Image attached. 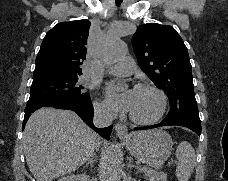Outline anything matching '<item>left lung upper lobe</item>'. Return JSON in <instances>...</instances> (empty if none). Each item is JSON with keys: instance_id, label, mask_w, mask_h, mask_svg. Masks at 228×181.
<instances>
[{"instance_id": "5c2ea615", "label": "left lung upper lobe", "mask_w": 228, "mask_h": 181, "mask_svg": "<svg viewBox=\"0 0 228 181\" xmlns=\"http://www.w3.org/2000/svg\"><path fill=\"white\" fill-rule=\"evenodd\" d=\"M132 43L142 71L169 98L170 112L162 122L201 127L188 51L176 30L157 23L140 25Z\"/></svg>"}]
</instances>
